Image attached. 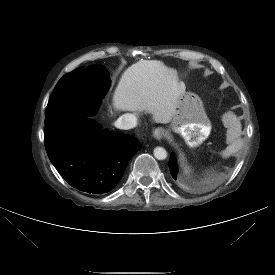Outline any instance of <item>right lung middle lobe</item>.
Masks as SVG:
<instances>
[{"mask_svg":"<svg viewBox=\"0 0 275 275\" xmlns=\"http://www.w3.org/2000/svg\"><path fill=\"white\" fill-rule=\"evenodd\" d=\"M105 79H108V72L101 66L79 68L64 75L46 107L45 126L79 115H93L105 95L100 90Z\"/></svg>","mask_w":275,"mask_h":275,"instance_id":"dd1d6c3e","label":"right lung middle lobe"}]
</instances>
